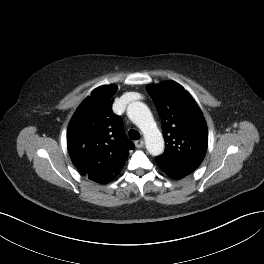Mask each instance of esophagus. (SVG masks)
<instances>
[{
    "instance_id": "1",
    "label": "esophagus",
    "mask_w": 264,
    "mask_h": 264,
    "mask_svg": "<svg viewBox=\"0 0 264 264\" xmlns=\"http://www.w3.org/2000/svg\"><path fill=\"white\" fill-rule=\"evenodd\" d=\"M135 146L137 148H142L144 146V141L143 140H137V141H135Z\"/></svg>"
}]
</instances>
